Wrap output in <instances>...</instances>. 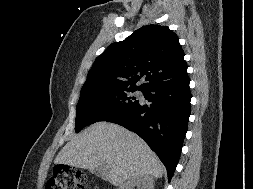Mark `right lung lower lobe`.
<instances>
[{
  "label": "right lung lower lobe",
  "instance_id": "right-lung-lower-lobe-1",
  "mask_svg": "<svg viewBox=\"0 0 253 189\" xmlns=\"http://www.w3.org/2000/svg\"><path fill=\"white\" fill-rule=\"evenodd\" d=\"M150 107L138 102L133 108L106 121L138 134L173 176L188 128L191 93L188 75L180 80L151 86L143 91Z\"/></svg>",
  "mask_w": 253,
  "mask_h": 189
}]
</instances>
